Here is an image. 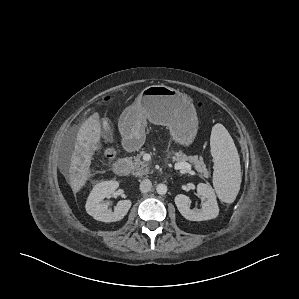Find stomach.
I'll return each instance as SVG.
<instances>
[{
	"label": "stomach",
	"instance_id": "stomach-1",
	"mask_svg": "<svg viewBox=\"0 0 299 299\" xmlns=\"http://www.w3.org/2000/svg\"><path fill=\"white\" fill-rule=\"evenodd\" d=\"M147 120L166 126L172 139L183 146L193 142L198 130L197 113L191 99L165 85L144 88L120 117L129 136L143 133Z\"/></svg>",
	"mask_w": 299,
	"mask_h": 299
}]
</instances>
